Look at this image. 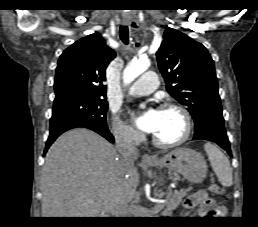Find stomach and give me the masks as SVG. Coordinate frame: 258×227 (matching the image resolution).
<instances>
[{
	"label": "stomach",
	"instance_id": "1",
	"mask_svg": "<svg viewBox=\"0 0 258 227\" xmlns=\"http://www.w3.org/2000/svg\"><path fill=\"white\" fill-rule=\"evenodd\" d=\"M148 167L167 168L183 175L191 183H200L206 177L207 164L204 157L190 148H177L161 158H154Z\"/></svg>",
	"mask_w": 258,
	"mask_h": 227
}]
</instances>
